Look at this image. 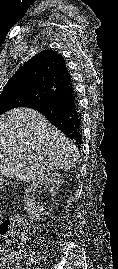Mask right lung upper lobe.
<instances>
[{
    "label": "right lung upper lobe",
    "instance_id": "1",
    "mask_svg": "<svg viewBox=\"0 0 118 269\" xmlns=\"http://www.w3.org/2000/svg\"><path fill=\"white\" fill-rule=\"evenodd\" d=\"M71 84L63 56L53 50H44L16 71L0 97L6 94H26L35 96L34 102H38Z\"/></svg>",
    "mask_w": 118,
    "mask_h": 269
}]
</instances>
